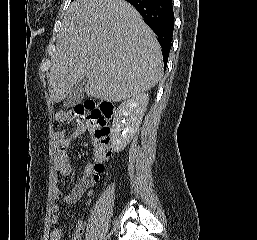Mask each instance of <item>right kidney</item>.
<instances>
[{"label": "right kidney", "instance_id": "right-kidney-1", "mask_svg": "<svg viewBox=\"0 0 257 240\" xmlns=\"http://www.w3.org/2000/svg\"><path fill=\"white\" fill-rule=\"evenodd\" d=\"M149 96L140 93L124 101L115 111L111 129V147L122 151L132 140L145 114Z\"/></svg>", "mask_w": 257, "mask_h": 240}]
</instances>
